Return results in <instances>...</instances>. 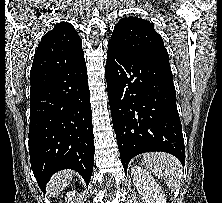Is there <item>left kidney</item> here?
<instances>
[{"label": "left kidney", "mask_w": 222, "mask_h": 203, "mask_svg": "<svg viewBox=\"0 0 222 203\" xmlns=\"http://www.w3.org/2000/svg\"><path fill=\"white\" fill-rule=\"evenodd\" d=\"M131 176L139 195L145 203H166L162 188L148 171L139 166H132Z\"/></svg>", "instance_id": "left-kidney-1"}]
</instances>
